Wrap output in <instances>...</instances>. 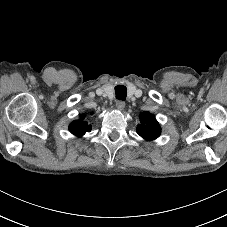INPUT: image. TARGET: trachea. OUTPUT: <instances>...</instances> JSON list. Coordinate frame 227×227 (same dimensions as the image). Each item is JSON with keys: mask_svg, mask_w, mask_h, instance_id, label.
<instances>
[{"mask_svg": "<svg viewBox=\"0 0 227 227\" xmlns=\"http://www.w3.org/2000/svg\"><path fill=\"white\" fill-rule=\"evenodd\" d=\"M116 98L119 100H125L127 96V89L123 85H118L115 87Z\"/></svg>", "mask_w": 227, "mask_h": 227, "instance_id": "3493384b", "label": "trachea"}]
</instances>
